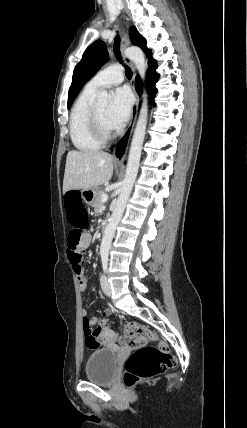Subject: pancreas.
I'll return each instance as SVG.
<instances>
[{
    "instance_id": "pancreas-1",
    "label": "pancreas",
    "mask_w": 247,
    "mask_h": 428,
    "mask_svg": "<svg viewBox=\"0 0 247 428\" xmlns=\"http://www.w3.org/2000/svg\"><path fill=\"white\" fill-rule=\"evenodd\" d=\"M106 194V192L103 189H98L97 190V195L95 198V201L93 203V207L96 213H99L102 206H103V202L101 200L102 195Z\"/></svg>"
}]
</instances>
